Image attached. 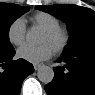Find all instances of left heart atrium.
I'll use <instances>...</instances> for the list:
<instances>
[{
  "label": "left heart atrium",
  "mask_w": 95,
  "mask_h": 95,
  "mask_svg": "<svg viewBox=\"0 0 95 95\" xmlns=\"http://www.w3.org/2000/svg\"><path fill=\"white\" fill-rule=\"evenodd\" d=\"M53 49L47 44L43 43L38 46L24 45L20 47L17 51L19 58L32 63H38L44 61L52 56Z\"/></svg>",
  "instance_id": "obj_1"
}]
</instances>
